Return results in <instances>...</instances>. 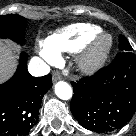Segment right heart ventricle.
<instances>
[{"mask_svg": "<svg viewBox=\"0 0 136 136\" xmlns=\"http://www.w3.org/2000/svg\"><path fill=\"white\" fill-rule=\"evenodd\" d=\"M101 33V28L92 24H73L48 36L44 46L55 54L74 53L81 50L89 41Z\"/></svg>", "mask_w": 136, "mask_h": 136, "instance_id": "e07e8e85", "label": "right heart ventricle"}]
</instances>
